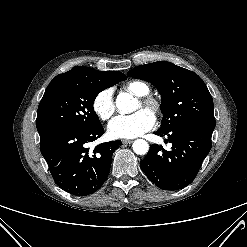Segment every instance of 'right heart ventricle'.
<instances>
[{"label": "right heart ventricle", "mask_w": 247, "mask_h": 247, "mask_svg": "<svg viewBox=\"0 0 247 247\" xmlns=\"http://www.w3.org/2000/svg\"><path fill=\"white\" fill-rule=\"evenodd\" d=\"M124 89L138 97L146 96L150 92L149 86L142 81L133 80L124 85Z\"/></svg>", "instance_id": "e07e8e85"}]
</instances>
